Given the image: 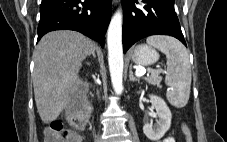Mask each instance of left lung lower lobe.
<instances>
[{"label":"left lung lower lobe","instance_id":"0a47b994","mask_svg":"<svg viewBox=\"0 0 227 142\" xmlns=\"http://www.w3.org/2000/svg\"><path fill=\"white\" fill-rule=\"evenodd\" d=\"M122 3L124 53L138 40L157 34L173 36L186 46L174 0H142V9L135 6L138 0H122Z\"/></svg>","mask_w":227,"mask_h":142}]
</instances>
